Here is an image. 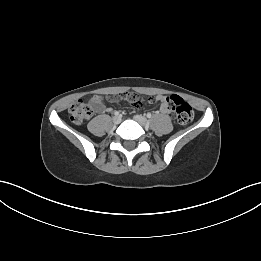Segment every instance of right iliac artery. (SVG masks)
Returning a JSON list of instances; mask_svg holds the SVG:
<instances>
[{
	"mask_svg": "<svg viewBox=\"0 0 261 261\" xmlns=\"http://www.w3.org/2000/svg\"><path fill=\"white\" fill-rule=\"evenodd\" d=\"M114 115L118 116V115H120V114H119L118 111H115V112H114Z\"/></svg>",
	"mask_w": 261,
	"mask_h": 261,
	"instance_id": "1",
	"label": "right iliac artery"
}]
</instances>
